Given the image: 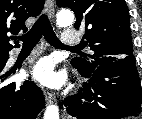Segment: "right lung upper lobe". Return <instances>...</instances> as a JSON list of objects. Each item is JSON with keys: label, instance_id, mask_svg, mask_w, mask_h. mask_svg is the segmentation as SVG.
Listing matches in <instances>:
<instances>
[{"label": "right lung upper lobe", "instance_id": "obj_1", "mask_svg": "<svg viewBox=\"0 0 142 119\" xmlns=\"http://www.w3.org/2000/svg\"><path fill=\"white\" fill-rule=\"evenodd\" d=\"M45 0H0V55L8 53L14 48L9 41L20 30L27 31L25 21L29 17H36L43 9ZM15 47H19L16 42Z\"/></svg>", "mask_w": 142, "mask_h": 119}]
</instances>
